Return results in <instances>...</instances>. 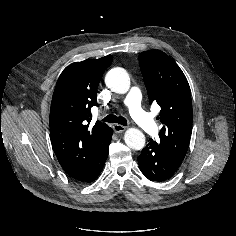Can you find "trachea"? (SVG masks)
<instances>
[{
    "label": "trachea",
    "mask_w": 236,
    "mask_h": 236,
    "mask_svg": "<svg viewBox=\"0 0 236 236\" xmlns=\"http://www.w3.org/2000/svg\"><path fill=\"white\" fill-rule=\"evenodd\" d=\"M103 121L108 122V123H118L123 126H127V120L124 117L116 116L113 114H110V115H107L106 117H104Z\"/></svg>",
    "instance_id": "obj_1"
}]
</instances>
